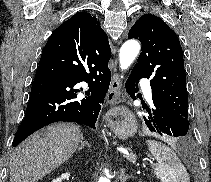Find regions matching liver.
Listing matches in <instances>:
<instances>
[{
	"mask_svg": "<svg viewBox=\"0 0 211 182\" xmlns=\"http://www.w3.org/2000/svg\"><path fill=\"white\" fill-rule=\"evenodd\" d=\"M81 139L80 127L68 123L51 125L34 133L11 155L10 182H37L67 161Z\"/></svg>",
	"mask_w": 211,
	"mask_h": 182,
	"instance_id": "1",
	"label": "liver"
}]
</instances>
